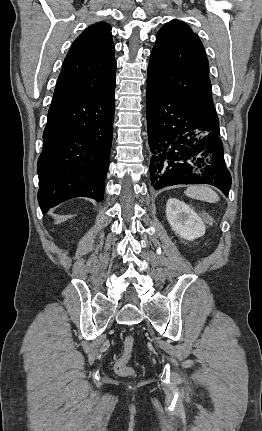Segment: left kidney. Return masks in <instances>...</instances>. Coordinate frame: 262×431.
I'll return each mask as SVG.
<instances>
[{"label":"left kidney","instance_id":"obj_1","mask_svg":"<svg viewBox=\"0 0 262 431\" xmlns=\"http://www.w3.org/2000/svg\"><path fill=\"white\" fill-rule=\"evenodd\" d=\"M166 217L172 229L187 240H194L205 234L206 227L201 218L185 203L169 199L166 204Z\"/></svg>","mask_w":262,"mask_h":431}]
</instances>
